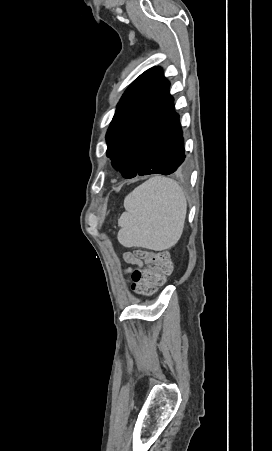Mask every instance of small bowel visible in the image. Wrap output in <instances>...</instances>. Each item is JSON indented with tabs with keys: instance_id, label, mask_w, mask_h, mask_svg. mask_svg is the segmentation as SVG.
Listing matches in <instances>:
<instances>
[{
	"instance_id": "obj_1",
	"label": "small bowel",
	"mask_w": 272,
	"mask_h": 451,
	"mask_svg": "<svg viewBox=\"0 0 272 451\" xmlns=\"http://www.w3.org/2000/svg\"><path fill=\"white\" fill-rule=\"evenodd\" d=\"M123 258L128 264L131 265L141 266L142 264L141 260L130 252L124 253ZM127 272H129V269L127 270Z\"/></svg>"
}]
</instances>
